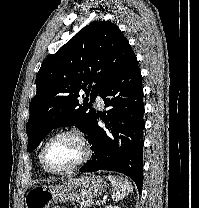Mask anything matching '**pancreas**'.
Masks as SVG:
<instances>
[{
	"mask_svg": "<svg viewBox=\"0 0 199 208\" xmlns=\"http://www.w3.org/2000/svg\"><path fill=\"white\" fill-rule=\"evenodd\" d=\"M94 204H95L94 200L92 199L77 202V205L79 206V208H87V207L93 206ZM74 208H78V207L75 205Z\"/></svg>",
	"mask_w": 199,
	"mask_h": 208,
	"instance_id": "obj_1",
	"label": "pancreas"
}]
</instances>
